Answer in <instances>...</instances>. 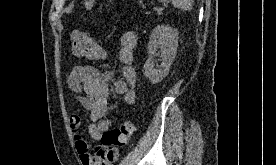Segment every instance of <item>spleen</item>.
<instances>
[{
	"label": "spleen",
	"instance_id": "spleen-1",
	"mask_svg": "<svg viewBox=\"0 0 276 165\" xmlns=\"http://www.w3.org/2000/svg\"><path fill=\"white\" fill-rule=\"evenodd\" d=\"M174 7L184 11H191L193 6V0H171Z\"/></svg>",
	"mask_w": 276,
	"mask_h": 165
}]
</instances>
